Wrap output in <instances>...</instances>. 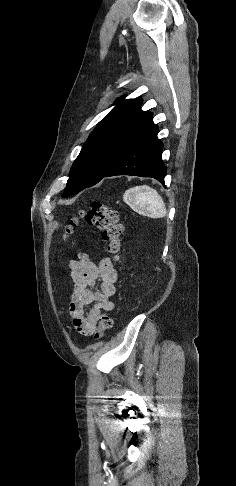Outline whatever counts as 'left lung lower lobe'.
<instances>
[{
  "label": "left lung lower lobe",
  "mask_w": 236,
  "mask_h": 486,
  "mask_svg": "<svg viewBox=\"0 0 236 486\" xmlns=\"http://www.w3.org/2000/svg\"><path fill=\"white\" fill-rule=\"evenodd\" d=\"M157 133L156 124L145 130L104 177L116 175L152 177L164 185L167 169L162 162L163 144L157 138Z\"/></svg>",
  "instance_id": "obj_1"
}]
</instances>
